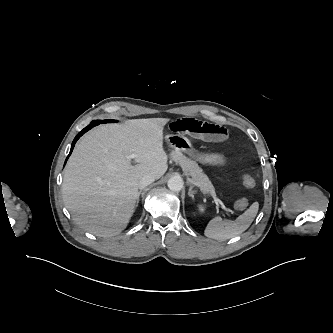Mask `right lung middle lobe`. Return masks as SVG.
I'll use <instances>...</instances> for the list:
<instances>
[{
  "instance_id": "1",
  "label": "right lung middle lobe",
  "mask_w": 333,
  "mask_h": 333,
  "mask_svg": "<svg viewBox=\"0 0 333 333\" xmlns=\"http://www.w3.org/2000/svg\"><path fill=\"white\" fill-rule=\"evenodd\" d=\"M107 122H114V120H104V123H107Z\"/></svg>"
}]
</instances>
